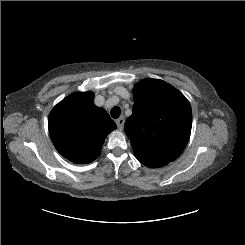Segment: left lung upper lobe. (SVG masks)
<instances>
[{
    "label": "left lung upper lobe",
    "instance_id": "5c2ea615",
    "mask_svg": "<svg viewBox=\"0 0 245 245\" xmlns=\"http://www.w3.org/2000/svg\"><path fill=\"white\" fill-rule=\"evenodd\" d=\"M133 113L124 131L139 162L159 168L177 159L189 141L192 110L176 88L159 79H144L134 87Z\"/></svg>",
    "mask_w": 245,
    "mask_h": 245
}]
</instances>
